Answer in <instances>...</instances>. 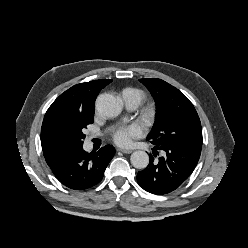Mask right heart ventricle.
Segmentation results:
<instances>
[{"instance_id":"obj_1","label":"right heart ventricle","mask_w":248,"mask_h":248,"mask_svg":"<svg viewBox=\"0 0 248 248\" xmlns=\"http://www.w3.org/2000/svg\"><path fill=\"white\" fill-rule=\"evenodd\" d=\"M124 91L132 92L133 94H135L136 96H138L141 101H142V99L144 97L143 92L141 90H139V89H136V88H127Z\"/></svg>"}]
</instances>
